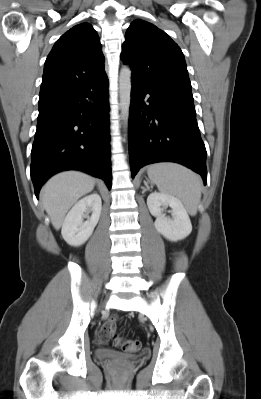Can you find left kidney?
Instances as JSON below:
<instances>
[{
	"label": "left kidney",
	"mask_w": 261,
	"mask_h": 399,
	"mask_svg": "<svg viewBox=\"0 0 261 399\" xmlns=\"http://www.w3.org/2000/svg\"><path fill=\"white\" fill-rule=\"evenodd\" d=\"M147 206L150 213L156 217L154 226L166 239L177 242L186 238L192 231L189 215L182 202L171 195L154 192L147 198ZM170 207L172 219L163 213Z\"/></svg>",
	"instance_id": "5707ae66"
}]
</instances>
